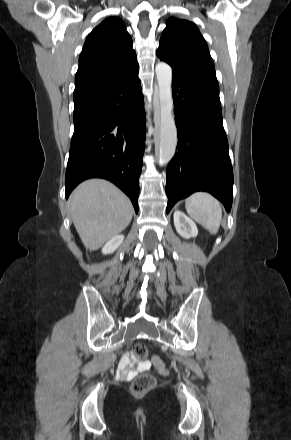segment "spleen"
Wrapping results in <instances>:
<instances>
[{"label":"spleen","mask_w":291,"mask_h":440,"mask_svg":"<svg viewBox=\"0 0 291 440\" xmlns=\"http://www.w3.org/2000/svg\"><path fill=\"white\" fill-rule=\"evenodd\" d=\"M187 213L211 234H216L222 220L219 201L205 192H196L186 199Z\"/></svg>","instance_id":"1"}]
</instances>
